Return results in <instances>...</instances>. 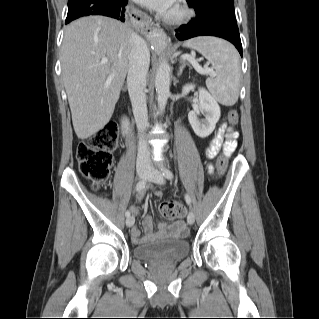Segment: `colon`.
I'll return each mask as SVG.
<instances>
[{
  "label": "colon",
  "instance_id": "obj_1",
  "mask_svg": "<svg viewBox=\"0 0 319 319\" xmlns=\"http://www.w3.org/2000/svg\"><path fill=\"white\" fill-rule=\"evenodd\" d=\"M238 113L231 110L229 122L238 124ZM118 127L108 122L98 132L88 136L77 147L79 169L84 178L89 180L92 187L98 189L106 184L113 161V152L118 143ZM218 172L220 176L226 173V162L223 155L218 157ZM162 216L168 220H176L183 213L182 206L175 200L163 202L160 205Z\"/></svg>",
  "mask_w": 319,
  "mask_h": 319
}]
</instances>
